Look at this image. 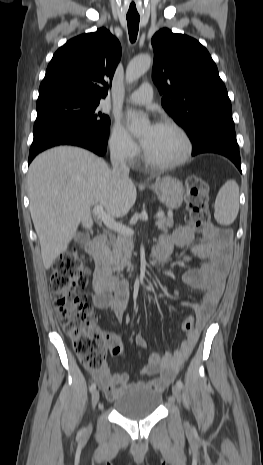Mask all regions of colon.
I'll list each match as a JSON object with an SVG mask.
<instances>
[{
  "mask_svg": "<svg viewBox=\"0 0 263 465\" xmlns=\"http://www.w3.org/2000/svg\"><path fill=\"white\" fill-rule=\"evenodd\" d=\"M209 186L198 176L186 181L185 202L187 223L199 234L207 237L212 234L208 205ZM82 257L73 248L64 252L54 263L50 275L52 301L57 309L59 322L72 341L73 349L81 364L91 371L105 368L106 340L96 326L97 317L84 297L76 292L85 286ZM193 316L181 324L185 333L194 330Z\"/></svg>",
  "mask_w": 263,
  "mask_h": 465,
  "instance_id": "5ec220e1",
  "label": "colon"
}]
</instances>
